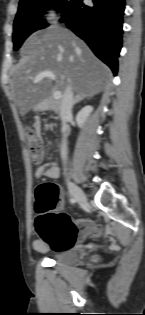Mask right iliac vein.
<instances>
[{
  "label": "right iliac vein",
  "instance_id": "right-iliac-vein-1",
  "mask_svg": "<svg viewBox=\"0 0 145 315\" xmlns=\"http://www.w3.org/2000/svg\"><path fill=\"white\" fill-rule=\"evenodd\" d=\"M68 189L71 195L80 203L83 204L86 202L87 198L83 191L73 182L69 181L67 183Z\"/></svg>",
  "mask_w": 145,
  "mask_h": 315
}]
</instances>
